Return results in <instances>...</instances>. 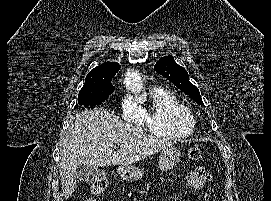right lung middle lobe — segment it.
Segmentation results:
<instances>
[{"label": "right lung middle lobe", "instance_id": "right-lung-middle-lobe-1", "mask_svg": "<svg viewBox=\"0 0 271 201\" xmlns=\"http://www.w3.org/2000/svg\"><path fill=\"white\" fill-rule=\"evenodd\" d=\"M114 75L86 78L82 89L79 92L78 102L84 106H94L104 102L115 87L111 80Z\"/></svg>", "mask_w": 271, "mask_h": 201}]
</instances>
